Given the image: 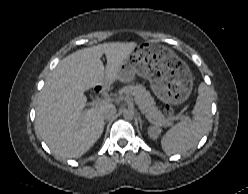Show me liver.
<instances>
[{
	"mask_svg": "<svg viewBox=\"0 0 248 194\" xmlns=\"http://www.w3.org/2000/svg\"><path fill=\"white\" fill-rule=\"evenodd\" d=\"M136 46L135 42H109L84 48L62 59L53 70L37 100L36 128L55 155L81 157L100 138L103 113L110 105L84 110V92L120 80L122 65Z\"/></svg>",
	"mask_w": 248,
	"mask_h": 194,
	"instance_id": "1",
	"label": "liver"
}]
</instances>
